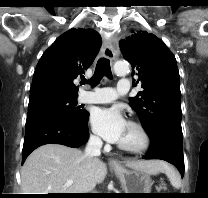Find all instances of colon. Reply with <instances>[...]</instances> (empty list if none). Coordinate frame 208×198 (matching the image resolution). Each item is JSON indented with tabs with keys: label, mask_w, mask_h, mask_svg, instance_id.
Returning <instances> with one entry per match:
<instances>
[{
	"label": "colon",
	"mask_w": 208,
	"mask_h": 198,
	"mask_svg": "<svg viewBox=\"0 0 208 198\" xmlns=\"http://www.w3.org/2000/svg\"><path fill=\"white\" fill-rule=\"evenodd\" d=\"M165 187H159L158 190H165Z\"/></svg>",
	"instance_id": "obj_1"
}]
</instances>
